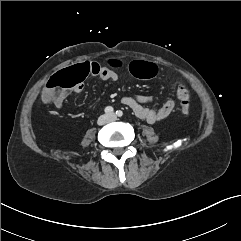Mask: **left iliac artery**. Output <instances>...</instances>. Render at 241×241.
<instances>
[{"instance_id":"left-iliac-artery-1","label":"left iliac artery","mask_w":241,"mask_h":241,"mask_svg":"<svg viewBox=\"0 0 241 241\" xmlns=\"http://www.w3.org/2000/svg\"><path fill=\"white\" fill-rule=\"evenodd\" d=\"M116 115L118 117H121L123 115V112L121 110L116 111Z\"/></svg>"}]
</instances>
